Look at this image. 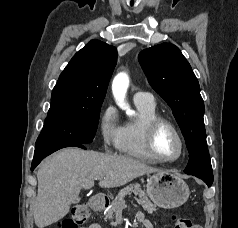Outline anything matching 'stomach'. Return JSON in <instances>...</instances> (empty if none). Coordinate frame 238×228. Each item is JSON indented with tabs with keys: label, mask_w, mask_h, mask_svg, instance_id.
Returning a JSON list of instances; mask_svg holds the SVG:
<instances>
[{
	"label": "stomach",
	"mask_w": 238,
	"mask_h": 228,
	"mask_svg": "<svg viewBox=\"0 0 238 228\" xmlns=\"http://www.w3.org/2000/svg\"><path fill=\"white\" fill-rule=\"evenodd\" d=\"M146 192L155 205L164 209L183 205L190 195L187 183L166 171L157 172L148 178Z\"/></svg>",
	"instance_id": "stomach-1"
}]
</instances>
